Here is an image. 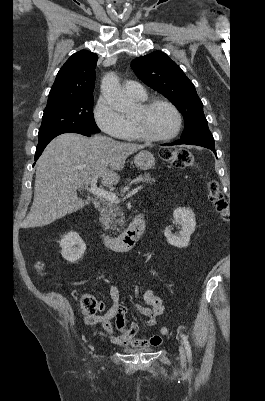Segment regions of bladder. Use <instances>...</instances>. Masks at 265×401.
<instances>
[{
	"label": "bladder",
	"instance_id": "obj_1",
	"mask_svg": "<svg viewBox=\"0 0 265 401\" xmlns=\"http://www.w3.org/2000/svg\"><path fill=\"white\" fill-rule=\"evenodd\" d=\"M124 350L129 351V352H144V351H152L153 348H146V349H133V348H125Z\"/></svg>",
	"mask_w": 265,
	"mask_h": 401
}]
</instances>
